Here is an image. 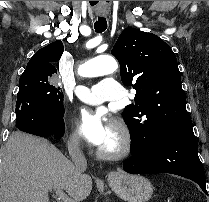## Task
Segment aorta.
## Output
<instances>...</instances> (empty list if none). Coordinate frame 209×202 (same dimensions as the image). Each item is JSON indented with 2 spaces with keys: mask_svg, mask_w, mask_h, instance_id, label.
<instances>
[{
  "mask_svg": "<svg viewBox=\"0 0 209 202\" xmlns=\"http://www.w3.org/2000/svg\"><path fill=\"white\" fill-rule=\"evenodd\" d=\"M118 69L116 60L110 55L93 58L79 68V74L83 77H98L112 74Z\"/></svg>",
  "mask_w": 209,
  "mask_h": 202,
  "instance_id": "1",
  "label": "aorta"
}]
</instances>
